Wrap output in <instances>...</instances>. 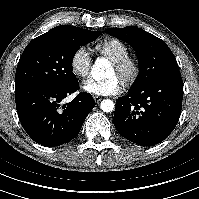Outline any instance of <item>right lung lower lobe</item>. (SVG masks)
Masks as SVG:
<instances>
[{
	"label": "right lung lower lobe",
	"instance_id": "1",
	"mask_svg": "<svg viewBox=\"0 0 199 199\" xmlns=\"http://www.w3.org/2000/svg\"><path fill=\"white\" fill-rule=\"evenodd\" d=\"M79 88L78 81L65 86L42 83L16 86L15 102L20 122L30 138L43 146L55 147L74 139L95 101L80 93L71 102H60Z\"/></svg>",
	"mask_w": 199,
	"mask_h": 199
}]
</instances>
